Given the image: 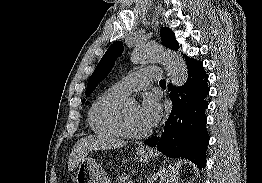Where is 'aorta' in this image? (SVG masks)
Returning <instances> with one entry per match:
<instances>
[{"label":"aorta","mask_w":262,"mask_h":183,"mask_svg":"<svg viewBox=\"0 0 262 183\" xmlns=\"http://www.w3.org/2000/svg\"><path fill=\"white\" fill-rule=\"evenodd\" d=\"M131 60L135 64H163L174 86H182L188 79V69L183 58L178 53L162 46L152 45L135 49Z\"/></svg>","instance_id":"1"}]
</instances>
